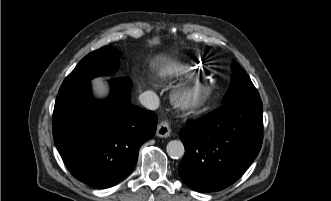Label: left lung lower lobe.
Here are the masks:
<instances>
[{
  "instance_id": "0a47b994",
  "label": "left lung lower lobe",
  "mask_w": 331,
  "mask_h": 201,
  "mask_svg": "<svg viewBox=\"0 0 331 201\" xmlns=\"http://www.w3.org/2000/svg\"><path fill=\"white\" fill-rule=\"evenodd\" d=\"M185 155L178 168L184 183L198 192H215L237 181L258 155L263 140L260 98L236 101L179 131Z\"/></svg>"
}]
</instances>
